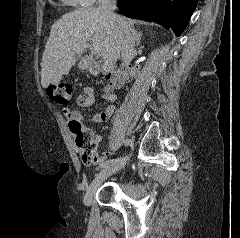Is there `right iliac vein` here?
Here are the masks:
<instances>
[{"instance_id": "63e3f726", "label": "right iliac vein", "mask_w": 240, "mask_h": 238, "mask_svg": "<svg viewBox=\"0 0 240 238\" xmlns=\"http://www.w3.org/2000/svg\"><path fill=\"white\" fill-rule=\"evenodd\" d=\"M127 157L120 161L117 162L113 165H110L108 167H106L105 169H103L95 178L94 180L91 182V184L88 186L85 196H84V204L86 206H89L92 202V198L96 192V190L99 188V186L112 174L120 171L126 164L127 162Z\"/></svg>"}]
</instances>
